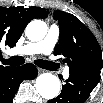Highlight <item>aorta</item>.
<instances>
[{
  "label": "aorta",
  "mask_w": 103,
  "mask_h": 103,
  "mask_svg": "<svg viewBox=\"0 0 103 103\" xmlns=\"http://www.w3.org/2000/svg\"><path fill=\"white\" fill-rule=\"evenodd\" d=\"M46 34L47 25L42 20H33L26 27V36L31 41H39ZM35 86L40 96L47 100L57 97L60 92V81L51 73L39 75L36 79Z\"/></svg>",
  "instance_id": "1"
}]
</instances>
